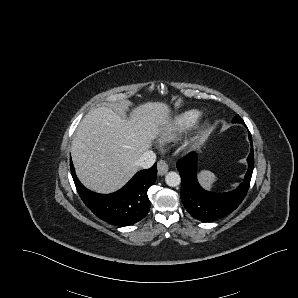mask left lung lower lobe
Listing matches in <instances>:
<instances>
[{
  "instance_id": "left-lung-lower-lobe-1",
  "label": "left lung lower lobe",
  "mask_w": 298,
  "mask_h": 298,
  "mask_svg": "<svg viewBox=\"0 0 298 298\" xmlns=\"http://www.w3.org/2000/svg\"><path fill=\"white\" fill-rule=\"evenodd\" d=\"M242 124L246 126L244 122ZM249 140L251 150L247 159L249 168L245 179L236 190L228 193H212L202 189L196 177V153L191 152L177 162V169L181 176V200L188 213L194 218L202 222L220 219L235 210L243 201L249 189L254 167V151L250 133Z\"/></svg>"
}]
</instances>
